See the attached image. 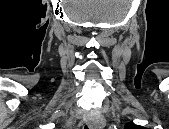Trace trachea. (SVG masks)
Masks as SVG:
<instances>
[{"label":"trachea","mask_w":169,"mask_h":129,"mask_svg":"<svg viewBox=\"0 0 169 129\" xmlns=\"http://www.w3.org/2000/svg\"><path fill=\"white\" fill-rule=\"evenodd\" d=\"M84 129H88V127L87 126H85V128Z\"/></svg>","instance_id":"3493384b"}]
</instances>
